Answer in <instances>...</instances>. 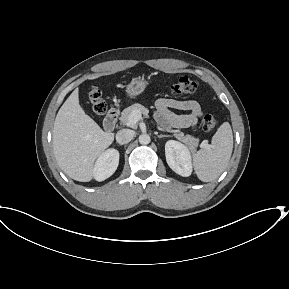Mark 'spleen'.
I'll list each match as a JSON object with an SVG mask.
<instances>
[{"mask_svg": "<svg viewBox=\"0 0 289 289\" xmlns=\"http://www.w3.org/2000/svg\"><path fill=\"white\" fill-rule=\"evenodd\" d=\"M232 150V129L228 122H224L212 137L211 144L194 154L193 165L198 178L203 182L218 178L226 169Z\"/></svg>", "mask_w": 289, "mask_h": 289, "instance_id": "spleen-1", "label": "spleen"}]
</instances>
